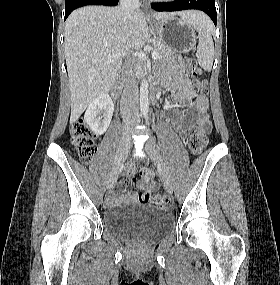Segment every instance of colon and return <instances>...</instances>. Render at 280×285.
Here are the masks:
<instances>
[{"label": "colon", "instance_id": "obj_1", "mask_svg": "<svg viewBox=\"0 0 280 285\" xmlns=\"http://www.w3.org/2000/svg\"><path fill=\"white\" fill-rule=\"evenodd\" d=\"M185 67L191 75L194 83L199 90L204 91L206 81L202 76L201 70L198 68L196 60L192 57L185 59ZM209 124H194L188 135V146L194 153L201 152L208 143ZM71 142L77 154L84 163L90 162L96 151V135L82 121L75 122L70 130ZM141 179L144 185L153 184V175L149 170H142ZM152 201L156 204H165L168 198L165 194H157L153 196Z\"/></svg>", "mask_w": 280, "mask_h": 285}]
</instances>
